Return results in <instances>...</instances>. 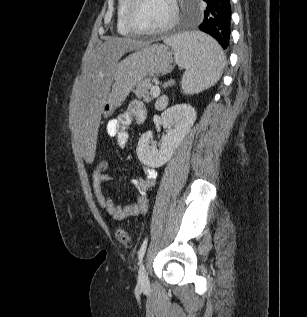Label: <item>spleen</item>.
<instances>
[{"label": "spleen", "mask_w": 307, "mask_h": 317, "mask_svg": "<svg viewBox=\"0 0 307 317\" xmlns=\"http://www.w3.org/2000/svg\"><path fill=\"white\" fill-rule=\"evenodd\" d=\"M174 50L176 63L185 69L181 88L185 94H197L213 86L221 77L225 56L216 40L194 32L165 40Z\"/></svg>", "instance_id": "obj_1"}]
</instances>
